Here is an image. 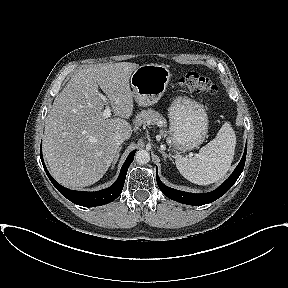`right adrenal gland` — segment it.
<instances>
[{
  "instance_id": "1",
  "label": "right adrenal gland",
  "mask_w": 288,
  "mask_h": 288,
  "mask_svg": "<svg viewBox=\"0 0 288 288\" xmlns=\"http://www.w3.org/2000/svg\"><path fill=\"white\" fill-rule=\"evenodd\" d=\"M121 149H122V146H120L119 147V149H118V151H117V154H116V157H115V159H114V161H113V166L112 167H114V165L116 164V162H117V160H118V158H119V156H120V151H121Z\"/></svg>"
}]
</instances>
